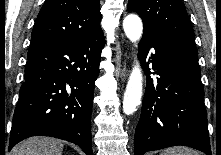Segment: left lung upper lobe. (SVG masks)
<instances>
[{
	"label": "left lung upper lobe",
	"instance_id": "5c2ea615",
	"mask_svg": "<svg viewBox=\"0 0 221 155\" xmlns=\"http://www.w3.org/2000/svg\"><path fill=\"white\" fill-rule=\"evenodd\" d=\"M127 8L142 18L143 35L197 51L194 31L181 0H129Z\"/></svg>",
	"mask_w": 221,
	"mask_h": 155
}]
</instances>
